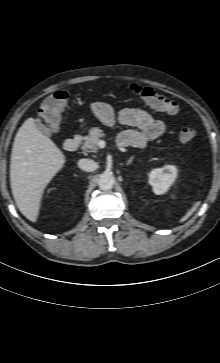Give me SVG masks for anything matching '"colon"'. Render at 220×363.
I'll return each mask as SVG.
<instances>
[{"label":"colon","mask_w":220,"mask_h":363,"mask_svg":"<svg viewBox=\"0 0 220 363\" xmlns=\"http://www.w3.org/2000/svg\"><path fill=\"white\" fill-rule=\"evenodd\" d=\"M130 91L152 108L171 115L179 112V105L176 101L158 93L152 88L133 84L130 86ZM69 96V91L59 90L45 98L40 109V121L45 132L52 134L58 130L61 115L67 106ZM196 135L197 130L191 126H183L179 130V138L182 142L192 141Z\"/></svg>","instance_id":"obj_1"}]
</instances>
